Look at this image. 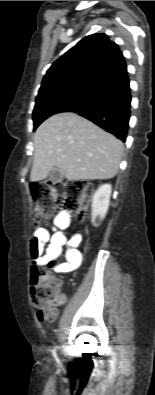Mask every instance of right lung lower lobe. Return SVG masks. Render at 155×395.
Segmentation results:
<instances>
[{
	"instance_id": "obj_1",
	"label": "right lung lower lobe",
	"mask_w": 155,
	"mask_h": 395,
	"mask_svg": "<svg viewBox=\"0 0 155 395\" xmlns=\"http://www.w3.org/2000/svg\"><path fill=\"white\" fill-rule=\"evenodd\" d=\"M130 107L131 92L126 70L109 77L96 91L66 111L78 113L125 142Z\"/></svg>"
}]
</instances>
